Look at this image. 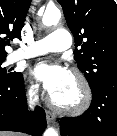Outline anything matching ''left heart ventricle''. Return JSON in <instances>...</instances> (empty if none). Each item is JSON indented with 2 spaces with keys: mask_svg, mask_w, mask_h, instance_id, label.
Returning <instances> with one entry per match:
<instances>
[{
  "mask_svg": "<svg viewBox=\"0 0 117 136\" xmlns=\"http://www.w3.org/2000/svg\"><path fill=\"white\" fill-rule=\"evenodd\" d=\"M79 96L75 79L70 75L67 85L53 97L62 104H72L77 101Z\"/></svg>",
  "mask_w": 117,
  "mask_h": 136,
  "instance_id": "b2bd125f",
  "label": "left heart ventricle"
}]
</instances>
